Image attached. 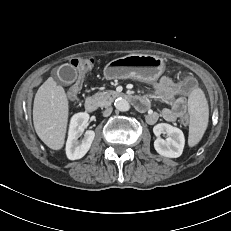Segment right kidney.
<instances>
[{
	"label": "right kidney",
	"instance_id": "obj_1",
	"mask_svg": "<svg viewBox=\"0 0 231 231\" xmlns=\"http://www.w3.org/2000/svg\"><path fill=\"white\" fill-rule=\"evenodd\" d=\"M88 120L89 115L87 113H77L71 118L68 139L66 142V155L70 160L81 159L91 147L95 137L94 131H86L84 137L79 140Z\"/></svg>",
	"mask_w": 231,
	"mask_h": 231
}]
</instances>
